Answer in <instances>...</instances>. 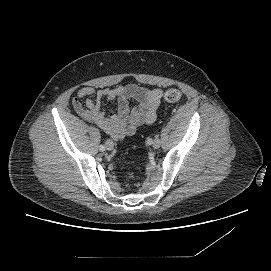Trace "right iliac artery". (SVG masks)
Masks as SVG:
<instances>
[{
    "label": "right iliac artery",
    "mask_w": 271,
    "mask_h": 271,
    "mask_svg": "<svg viewBox=\"0 0 271 271\" xmlns=\"http://www.w3.org/2000/svg\"><path fill=\"white\" fill-rule=\"evenodd\" d=\"M99 150H100V151H104V150H105V146H104V145H100V146H99Z\"/></svg>",
    "instance_id": "obj_1"
}]
</instances>
